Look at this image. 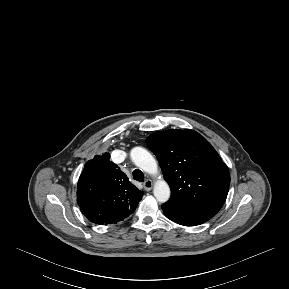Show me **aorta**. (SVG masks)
<instances>
[{
    "mask_svg": "<svg viewBox=\"0 0 289 289\" xmlns=\"http://www.w3.org/2000/svg\"><path fill=\"white\" fill-rule=\"evenodd\" d=\"M130 156L136 166L141 168L148 174L156 175L158 173V165L154 157L142 147H134ZM153 193L158 202L164 203L170 198V188L167 182L159 179L155 182Z\"/></svg>",
    "mask_w": 289,
    "mask_h": 289,
    "instance_id": "1",
    "label": "aorta"
}]
</instances>
